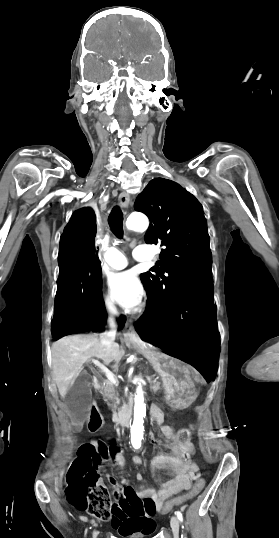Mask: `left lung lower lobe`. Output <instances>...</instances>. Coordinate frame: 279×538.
I'll list each match as a JSON object with an SVG mask.
<instances>
[{"mask_svg":"<svg viewBox=\"0 0 279 538\" xmlns=\"http://www.w3.org/2000/svg\"><path fill=\"white\" fill-rule=\"evenodd\" d=\"M213 281L179 294L159 315L135 323L147 342L195 367L210 382L218 367L219 332L213 302Z\"/></svg>","mask_w":279,"mask_h":538,"instance_id":"obj_1","label":"left lung lower lobe"}]
</instances>
